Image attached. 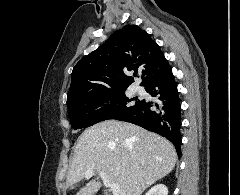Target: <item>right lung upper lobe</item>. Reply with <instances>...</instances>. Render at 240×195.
I'll return each mask as SVG.
<instances>
[{"instance_id": "right-lung-upper-lobe-1", "label": "right lung upper lobe", "mask_w": 240, "mask_h": 195, "mask_svg": "<svg viewBox=\"0 0 240 195\" xmlns=\"http://www.w3.org/2000/svg\"><path fill=\"white\" fill-rule=\"evenodd\" d=\"M171 70L160 47L137 25L113 33L98 49L81 59L72 71L67 105L84 97H100L126 90L134 81L124 72H139L141 86Z\"/></svg>"}]
</instances>
